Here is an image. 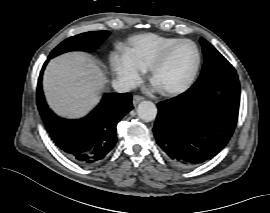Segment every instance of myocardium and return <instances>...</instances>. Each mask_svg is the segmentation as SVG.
Segmentation results:
<instances>
[{"label": "myocardium", "instance_id": "myocardium-1", "mask_svg": "<svg viewBox=\"0 0 270 213\" xmlns=\"http://www.w3.org/2000/svg\"><path fill=\"white\" fill-rule=\"evenodd\" d=\"M183 43H188L191 44L195 50L196 53V65L189 76V78L184 81L182 84L171 87V88H163V89H158L159 92L164 95V96H171V95H176L180 94L184 91H186L188 88L191 87L193 84L194 80L196 79V76L198 74L199 68H200V63H201V55L199 52V49L197 45L189 40V39H179L170 45H168L165 49H163L150 63L149 65V80L152 84H154V76L157 71V69L165 62L171 51L178 45L183 44Z\"/></svg>", "mask_w": 270, "mask_h": 213}]
</instances>
